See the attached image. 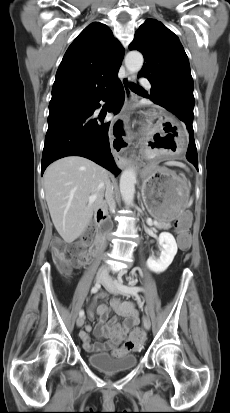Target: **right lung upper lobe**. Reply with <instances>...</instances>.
<instances>
[{
    "label": "right lung upper lobe",
    "mask_w": 230,
    "mask_h": 413,
    "mask_svg": "<svg viewBox=\"0 0 230 413\" xmlns=\"http://www.w3.org/2000/svg\"><path fill=\"white\" fill-rule=\"evenodd\" d=\"M124 49L102 23L87 26L67 49L56 73L49 107L94 100L117 80Z\"/></svg>",
    "instance_id": "1"
}]
</instances>
